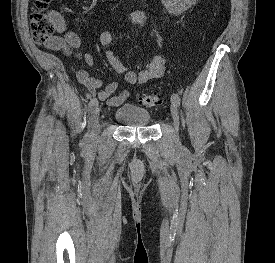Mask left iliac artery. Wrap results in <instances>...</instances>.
I'll use <instances>...</instances> for the list:
<instances>
[{
    "instance_id": "obj_1",
    "label": "left iliac artery",
    "mask_w": 275,
    "mask_h": 263,
    "mask_svg": "<svg viewBox=\"0 0 275 263\" xmlns=\"http://www.w3.org/2000/svg\"><path fill=\"white\" fill-rule=\"evenodd\" d=\"M171 101H172V103H173L174 105H176V106H179V105H180V102H181L180 97H179L178 94H173V95L171 96Z\"/></svg>"
}]
</instances>
